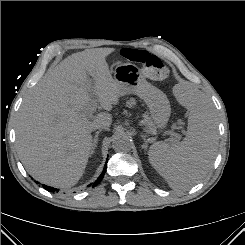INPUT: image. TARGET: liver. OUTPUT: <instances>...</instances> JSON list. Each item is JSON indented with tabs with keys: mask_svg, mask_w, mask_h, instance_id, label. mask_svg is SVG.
<instances>
[{
	"mask_svg": "<svg viewBox=\"0 0 245 245\" xmlns=\"http://www.w3.org/2000/svg\"><path fill=\"white\" fill-rule=\"evenodd\" d=\"M114 50L87 49L68 56L51 67L23 100L16 149L36 180L70 188L82 177L92 150L93 126L112 123L110 113L93 115L92 98L109 111L122 96L106 62Z\"/></svg>",
	"mask_w": 245,
	"mask_h": 245,
	"instance_id": "6515ba94",
	"label": "liver"
}]
</instances>
